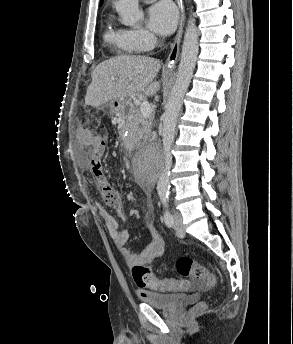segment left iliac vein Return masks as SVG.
<instances>
[{"label": "left iliac vein", "mask_w": 293, "mask_h": 344, "mask_svg": "<svg viewBox=\"0 0 293 344\" xmlns=\"http://www.w3.org/2000/svg\"><path fill=\"white\" fill-rule=\"evenodd\" d=\"M173 226L175 229V234L177 237H184L185 236V230L183 227V219L182 215L179 212H175L173 214Z\"/></svg>", "instance_id": "4c4485c4"}]
</instances>
